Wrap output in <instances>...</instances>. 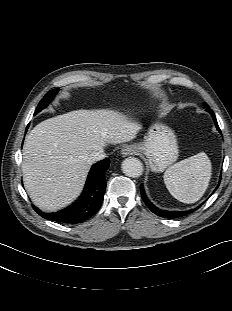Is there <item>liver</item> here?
<instances>
[{
	"label": "liver",
	"mask_w": 232,
	"mask_h": 311,
	"mask_svg": "<svg viewBox=\"0 0 232 311\" xmlns=\"http://www.w3.org/2000/svg\"><path fill=\"white\" fill-rule=\"evenodd\" d=\"M139 130L140 124L112 110H76L36 125L25 139L22 163L33 203L48 212L69 205L83 189L88 156L133 140Z\"/></svg>",
	"instance_id": "6515ba94"
}]
</instances>
